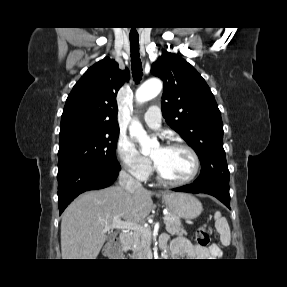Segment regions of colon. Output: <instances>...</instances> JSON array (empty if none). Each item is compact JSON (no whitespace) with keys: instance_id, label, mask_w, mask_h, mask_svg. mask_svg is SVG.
Masks as SVG:
<instances>
[{"instance_id":"colon-1","label":"colon","mask_w":287,"mask_h":287,"mask_svg":"<svg viewBox=\"0 0 287 287\" xmlns=\"http://www.w3.org/2000/svg\"><path fill=\"white\" fill-rule=\"evenodd\" d=\"M196 239H197L198 245H200L202 247L208 246L211 242L210 234L204 226H201L197 230ZM111 249L114 253L118 252L117 244H115L113 247H111Z\"/></svg>"}]
</instances>
